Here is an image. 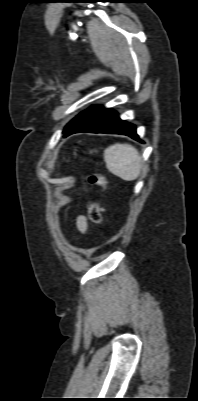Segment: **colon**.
Returning a JSON list of instances; mask_svg holds the SVG:
<instances>
[{"mask_svg": "<svg viewBox=\"0 0 198 401\" xmlns=\"http://www.w3.org/2000/svg\"><path fill=\"white\" fill-rule=\"evenodd\" d=\"M89 182L100 189L101 191L105 190L107 187L106 178L99 173H92L89 176ZM103 204L97 198H93L89 204V216L91 221L96 225H102L104 223L103 217Z\"/></svg>", "mask_w": 198, "mask_h": 401, "instance_id": "obj_1", "label": "colon"}]
</instances>
